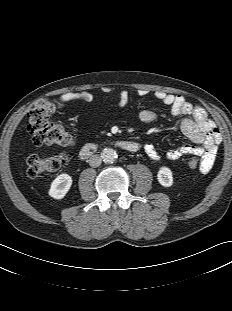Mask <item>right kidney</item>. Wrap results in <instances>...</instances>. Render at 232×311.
Here are the masks:
<instances>
[{
    "label": "right kidney",
    "instance_id": "ca27d5eb",
    "mask_svg": "<svg viewBox=\"0 0 232 311\" xmlns=\"http://www.w3.org/2000/svg\"><path fill=\"white\" fill-rule=\"evenodd\" d=\"M71 185V176L66 173L60 174L51 183V187L48 193L55 199H62L69 191Z\"/></svg>",
    "mask_w": 232,
    "mask_h": 311
}]
</instances>
